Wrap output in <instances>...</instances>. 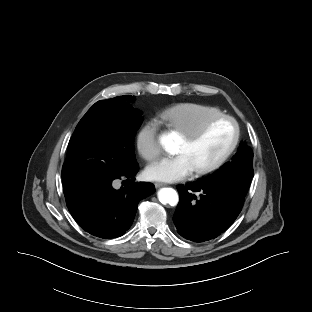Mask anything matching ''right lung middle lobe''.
<instances>
[{
  "mask_svg": "<svg viewBox=\"0 0 312 312\" xmlns=\"http://www.w3.org/2000/svg\"><path fill=\"white\" fill-rule=\"evenodd\" d=\"M131 99L125 95L98 101L82 117L62 168L65 197L137 165L133 140L142 112L128 103Z\"/></svg>",
  "mask_w": 312,
  "mask_h": 312,
  "instance_id": "right-lung-middle-lobe-1",
  "label": "right lung middle lobe"
}]
</instances>
